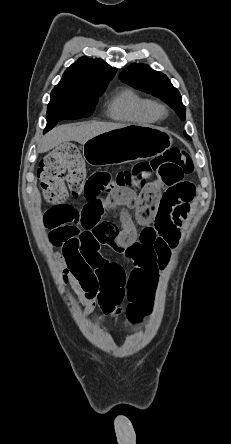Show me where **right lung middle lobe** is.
<instances>
[{
    "mask_svg": "<svg viewBox=\"0 0 231 444\" xmlns=\"http://www.w3.org/2000/svg\"><path fill=\"white\" fill-rule=\"evenodd\" d=\"M104 91L52 90L47 108L45 132L64 119L85 118L92 114L97 97Z\"/></svg>",
    "mask_w": 231,
    "mask_h": 444,
    "instance_id": "right-lung-middle-lobe-1",
    "label": "right lung middle lobe"
}]
</instances>
